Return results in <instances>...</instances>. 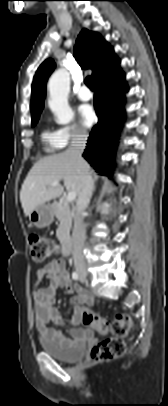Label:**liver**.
<instances>
[{
	"instance_id": "1",
	"label": "liver",
	"mask_w": 168,
	"mask_h": 406,
	"mask_svg": "<svg viewBox=\"0 0 168 406\" xmlns=\"http://www.w3.org/2000/svg\"><path fill=\"white\" fill-rule=\"evenodd\" d=\"M90 170L89 165L85 162ZM64 181L69 192L79 194L81 190V166L72 154L64 151L37 161L30 169L20 191V201L25 216L39 205L62 195L64 188L51 187L50 183Z\"/></svg>"
}]
</instances>
